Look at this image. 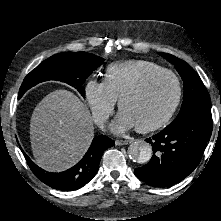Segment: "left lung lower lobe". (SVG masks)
Returning a JSON list of instances; mask_svg holds the SVG:
<instances>
[{
    "label": "left lung lower lobe",
    "mask_w": 221,
    "mask_h": 221,
    "mask_svg": "<svg viewBox=\"0 0 221 221\" xmlns=\"http://www.w3.org/2000/svg\"><path fill=\"white\" fill-rule=\"evenodd\" d=\"M212 133V117L189 116L166 127L146 141L153 156L147 165L134 170L140 180L155 187H166L186 178L199 164Z\"/></svg>",
    "instance_id": "obj_1"
}]
</instances>
